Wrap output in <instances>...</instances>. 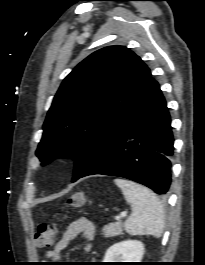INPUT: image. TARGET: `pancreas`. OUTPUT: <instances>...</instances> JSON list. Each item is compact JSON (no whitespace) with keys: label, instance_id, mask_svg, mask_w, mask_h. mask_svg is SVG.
Wrapping results in <instances>:
<instances>
[{"label":"pancreas","instance_id":"pancreas-1","mask_svg":"<svg viewBox=\"0 0 205 265\" xmlns=\"http://www.w3.org/2000/svg\"><path fill=\"white\" fill-rule=\"evenodd\" d=\"M105 237H114L122 234V222L118 221L105 225L102 229Z\"/></svg>","mask_w":205,"mask_h":265}]
</instances>
